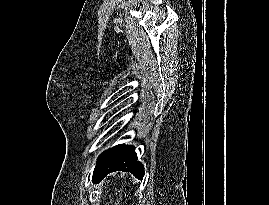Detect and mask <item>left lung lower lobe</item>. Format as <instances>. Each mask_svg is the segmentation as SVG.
Segmentation results:
<instances>
[{
	"label": "left lung lower lobe",
	"mask_w": 269,
	"mask_h": 205,
	"mask_svg": "<svg viewBox=\"0 0 269 205\" xmlns=\"http://www.w3.org/2000/svg\"><path fill=\"white\" fill-rule=\"evenodd\" d=\"M115 171L131 172L136 178L142 179L144 168L137 161L133 146L117 145L103 152L96 163L93 181L100 182L107 174Z\"/></svg>",
	"instance_id": "obj_1"
}]
</instances>
